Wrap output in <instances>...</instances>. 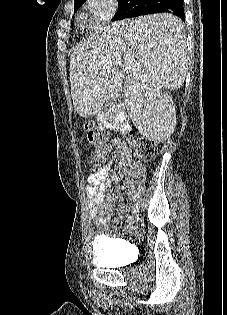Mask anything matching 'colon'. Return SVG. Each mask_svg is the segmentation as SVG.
<instances>
[{
	"instance_id": "1",
	"label": "colon",
	"mask_w": 227,
	"mask_h": 315,
	"mask_svg": "<svg viewBox=\"0 0 227 315\" xmlns=\"http://www.w3.org/2000/svg\"><path fill=\"white\" fill-rule=\"evenodd\" d=\"M83 129L87 135L89 144L96 147L100 151L104 142L103 132L96 128L92 122H86L83 126ZM130 144L136 150V152L144 158L152 159L157 154V147L155 143L140 135L132 134L130 138ZM101 160L102 157L101 154H99L95 157L94 162L95 164H98Z\"/></svg>"
}]
</instances>
